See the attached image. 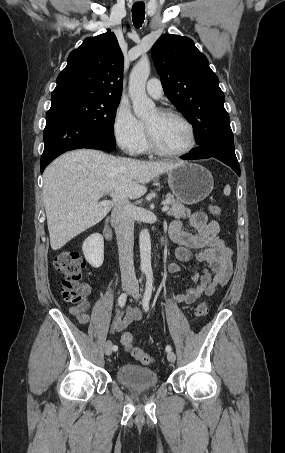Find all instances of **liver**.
<instances>
[{"label":"liver","mask_w":285,"mask_h":453,"mask_svg":"<svg viewBox=\"0 0 285 453\" xmlns=\"http://www.w3.org/2000/svg\"><path fill=\"white\" fill-rule=\"evenodd\" d=\"M179 163L121 158L92 149L67 152L43 174V201L51 248L56 251L99 223L123 199H138L153 178ZM111 203L99 199L105 194Z\"/></svg>","instance_id":"1"}]
</instances>
